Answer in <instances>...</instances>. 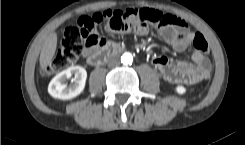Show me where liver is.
Returning <instances> with one entry per match:
<instances>
[{
    "instance_id": "liver-1",
    "label": "liver",
    "mask_w": 245,
    "mask_h": 145,
    "mask_svg": "<svg viewBox=\"0 0 245 145\" xmlns=\"http://www.w3.org/2000/svg\"><path fill=\"white\" fill-rule=\"evenodd\" d=\"M57 48V34L55 32L50 33L42 46L39 62L41 69H45L53 59Z\"/></svg>"
}]
</instances>
